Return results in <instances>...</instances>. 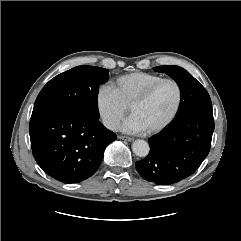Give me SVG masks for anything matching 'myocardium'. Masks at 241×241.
Returning a JSON list of instances; mask_svg holds the SVG:
<instances>
[{
	"mask_svg": "<svg viewBox=\"0 0 241 241\" xmlns=\"http://www.w3.org/2000/svg\"><path fill=\"white\" fill-rule=\"evenodd\" d=\"M163 83H172L176 87L177 100H176V104H175L174 109L172 110L171 114L162 123H160L159 125H157L153 128L147 129L148 132L151 134L162 131L167 126H169L173 122V120L176 118V116L181 108L182 100H183V90H182L180 83L173 78H162V79L156 81L155 83H153L152 85H150L137 98H135L129 106L130 111L132 112L134 107L145 103L153 95V93L156 91V89Z\"/></svg>",
	"mask_w": 241,
	"mask_h": 241,
	"instance_id": "f54148a6",
	"label": "myocardium"
}]
</instances>
